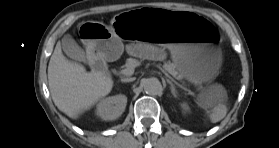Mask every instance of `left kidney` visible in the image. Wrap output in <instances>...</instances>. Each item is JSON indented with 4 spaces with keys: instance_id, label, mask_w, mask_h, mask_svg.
<instances>
[{
    "instance_id": "1",
    "label": "left kidney",
    "mask_w": 279,
    "mask_h": 148,
    "mask_svg": "<svg viewBox=\"0 0 279 148\" xmlns=\"http://www.w3.org/2000/svg\"><path fill=\"white\" fill-rule=\"evenodd\" d=\"M181 108L184 113H186L190 110L189 106L186 103L181 104Z\"/></svg>"
}]
</instances>
